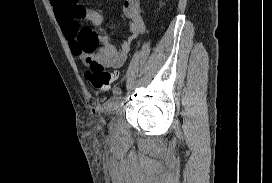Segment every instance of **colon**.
I'll use <instances>...</instances> for the list:
<instances>
[{
	"label": "colon",
	"instance_id": "obj_1",
	"mask_svg": "<svg viewBox=\"0 0 272 183\" xmlns=\"http://www.w3.org/2000/svg\"><path fill=\"white\" fill-rule=\"evenodd\" d=\"M85 65V77L94 90L105 92L113 87L117 77L115 73L105 70L100 63L94 60H87Z\"/></svg>",
	"mask_w": 272,
	"mask_h": 183
}]
</instances>
